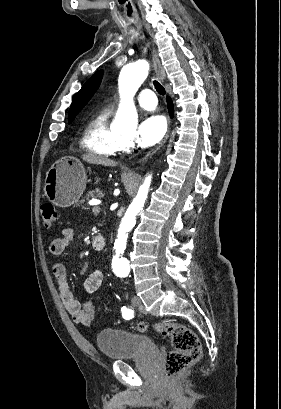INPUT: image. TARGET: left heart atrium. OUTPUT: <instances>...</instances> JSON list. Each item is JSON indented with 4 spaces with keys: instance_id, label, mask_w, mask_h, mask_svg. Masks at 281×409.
I'll use <instances>...</instances> for the list:
<instances>
[{
    "instance_id": "39dd6f15",
    "label": "left heart atrium",
    "mask_w": 281,
    "mask_h": 409,
    "mask_svg": "<svg viewBox=\"0 0 281 409\" xmlns=\"http://www.w3.org/2000/svg\"><path fill=\"white\" fill-rule=\"evenodd\" d=\"M165 131L164 117L152 114L140 124L135 140L141 147L148 148L157 144L163 138Z\"/></svg>"
}]
</instances>
